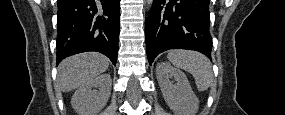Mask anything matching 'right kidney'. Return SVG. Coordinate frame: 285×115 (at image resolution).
<instances>
[{"instance_id":"1","label":"right kidney","mask_w":285,"mask_h":115,"mask_svg":"<svg viewBox=\"0 0 285 115\" xmlns=\"http://www.w3.org/2000/svg\"><path fill=\"white\" fill-rule=\"evenodd\" d=\"M112 79L110 74H102L78 88L71 105L81 115H94L107 103L111 94Z\"/></svg>"}]
</instances>
